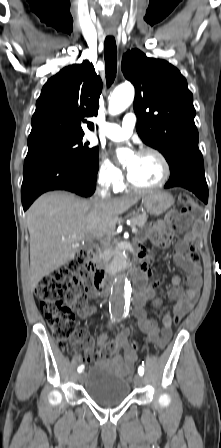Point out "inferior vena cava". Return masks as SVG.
Wrapping results in <instances>:
<instances>
[{
	"mask_svg": "<svg viewBox=\"0 0 221 448\" xmlns=\"http://www.w3.org/2000/svg\"><path fill=\"white\" fill-rule=\"evenodd\" d=\"M96 197L100 198L102 200L110 198V193L108 192V188L104 187V185L102 188H98Z\"/></svg>",
	"mask_w": 221,
	"mask_h": 448,
	"instance_id": "1",
	"label": "inferior vena cava"
}]
</instances>
